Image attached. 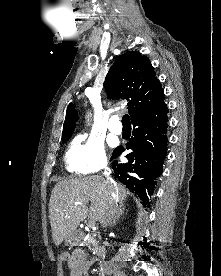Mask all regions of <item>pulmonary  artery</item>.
I'll use <instances>...</instances> for the list:
<instances>
[{"label": "pulmonary artery", "mask_w": 221, "mask_h": 276, "mask_svg": "<svg viewBox=\"0 0 221 276\" xmlns=\"http://www.w3.org/2000/svg\"><path fill=\"white\" fill-rule=\"evenodd\" d=\"M109 130L114 134H120L122 132V125L119 122L118 116H113L108 124Z\"/></svg>", "instance_id": "e3ab8cb5"}]
</instances>
